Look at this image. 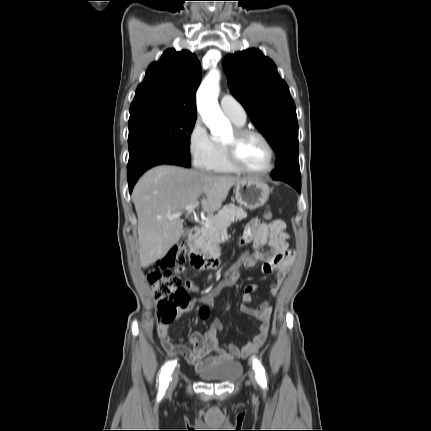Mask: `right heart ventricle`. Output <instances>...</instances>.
<instances>
[{
    "label": "right heart ventricle",
    "mask_w": 431,
    "mask_h": 431,
    "mask_svg": "<svg viewBox=\"0 0 431 431\" xmlns=\"http://www.w3.org/2000/svg\"><path fill=\"white\" fill-rule=\"evenodd\" d=\"M233 123L237 127H242L244 124V123L243 124L237 123L235 121H233ZM217 143H218V154L211 171L215 173H220V174H229V173L236 172V170L228 162L224 142H217Z\"/></svg>",
    "instance_id": "right-heart-ventricle-1"
}]
</instances>
